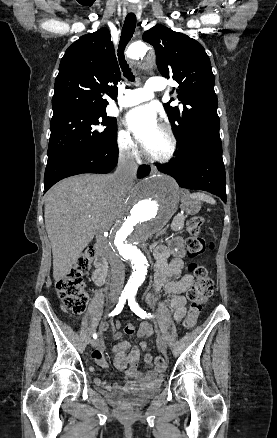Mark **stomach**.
<instances>
[{
	"mask_svg": "<svg viewBox=\"0 0 277 438\" xmlns=\"http://www.w3.org/2000/svg\"><path fill=\"white\" fill-rule=\"evenodd\" d=\"M201 204L198 200L192 199L190 196L184 195L182 198L181 209L185 212L194 215L199 212Z\"/></svg>",
	"mask_w": 277,
	"mask_h": 438,
	"instance_id": "stomach-1",
	"label": "stomach"
}]
</instances>
